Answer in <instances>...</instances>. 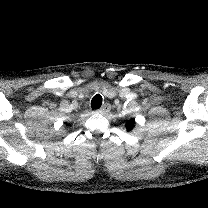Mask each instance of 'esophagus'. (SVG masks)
I'll use <instances>...</instances> for the list:
<instances>
[{
	"instance_id": "34e87169",
	"label": "esophagus",
	"mask_w": 208,
	"mask_h": 208,
	"mask_svg": "<svg viewBox=\"0 0 208 208\" xmlns=\"http://www.w3.org/2000/svg\"><path fill=\"white\" fill-rule=\"evenodd\" d=\"M111 106L109 103H105L100 109L97 110L98 113L106 115L110 112Z\"/></svg>"
}]
</instances>
